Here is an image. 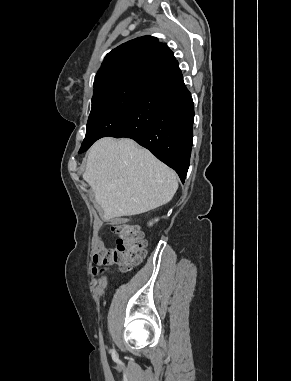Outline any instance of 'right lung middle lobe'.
<instances>
[{
    "label": "right lung middle lobe",
    "mask_w": 291,
    "mask_h": 381,
    "mask_svg": "<svg viewBox=\"0 0 291 381\" xmlns=\"http://www.w3.org/2000/svg\"><path fill=\"white\" fill-rule=\"evenodd\" d=\"M142 79L129 78L94 92L86 136L79 153L86 151L96 140L105 136H114L122 129Z\"/></svg>",
    "instance_id": "right-lung-middle-lobe-1"
}]
</instances>
